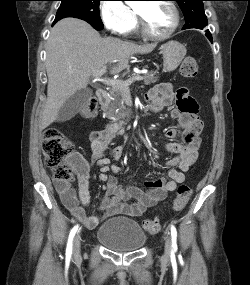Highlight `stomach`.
<instances>
[{"instance_id": "obj_1", "label": "stomach", "mask_w": 250, "mask_h": 285, "mask_svg": "<svg viewBox=\"0 0 250 285\" xmlns=\"http://www.w3.org/2000/svg\"><path fill=\"white\" fill-rule=\"evenodd\" d=\"M163 71L170 73L177 69L186 54L185 47L177 41H169L161 46Z\"/></svg>"}]
</instances>
